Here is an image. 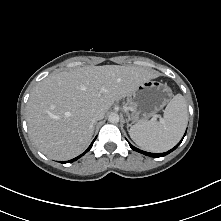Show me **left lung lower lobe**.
<instances>
[{"label": "left lung lower lobe", "instance_id": "obj_1", "mask_svg": "<svg viewBox=\"0 0 221 221\" xmlns=\"http://www.w3.org/2000/svg\"><path fill=\"white\" fill-rule=\"evenodd\" d=\"M185 134H186V133H185ZM184 136H185V135H184ZM184 136H183V138H184ZM183 138L181 139V141H180L174 148H172L171 150H169V151H167V152H165V153H150V152H145V151H142V150H140V149L134 147V146L131 145L130 143H129V145H130V147H131L133 150H135V151H137V152H140V153H142V154H144V155H147V156H150V157H163V156H165V155H168V154L171 153L172 151H174V150L180 145V143L182 142Z\"/></svg>", "mask_w": 221, "mask_h": 221}]
</instances>
